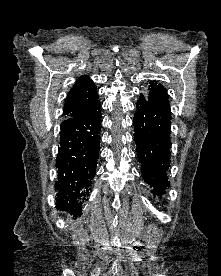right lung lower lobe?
I'll return each mask as SVG.
<instances>
[{"instance_id":"obj_1","label":"right lung lower lobe","mask_w":221,"mask_h":276,"mask_svg":"<svg viewBox=\"0 0 221 276\" xmlns=\"http://www.w3.org/2000/svg\"><path fill=\"white\" fill-rule=\"evenodd\" d=\"M100 109L98 101L84 115L67 118L60 126L56 207L73 215L81 214L83 201L95 176L101 130Z\"/></svg>"}]
</instances>
